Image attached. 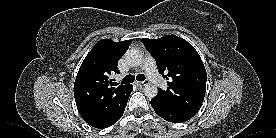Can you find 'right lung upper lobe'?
<instances>
[{
	"label": "right lung upper lobe",
	"instance_id": "right-lung-upper-lobe-1",
	"mask_svg": "<svg viewBox=\"0 0 276 138\" xmlns=\"http://www.w3.org/2000/svg\"><path fill=\"white\" fill-rule=\"evenodd\" d=\"M130 44V40L116 43L102 39L80 66L74 84L75 102L82 118L93 127H110L124 113L133 86H117L111 77L119 73L117 63Z\"/></svg>",
	"mask_w": 276,
	"mask_h": 138
}]
</instances>
